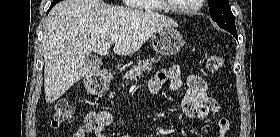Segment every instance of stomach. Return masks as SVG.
I'll use <instances>...</instances> for the list:
<instances>
[{
    "instance_id": "obj_1",
    "label": "stomach",
    "mask_w": 280,
    "mask_h": 137,
    "mask_svg": "<svg viewBox=\"0 0 280 137\" xmlns=\"http://www.w3.org/2000/svg\"><path fill=\"white\" fill-rule=\"evenodd\" d=\"M152 46L156 53L172 56L178 53L184 45L182 35L174 28L167 27L152 35ZM91 92H97L91 84H86Z\"/></svg>"
}]
</instances>
